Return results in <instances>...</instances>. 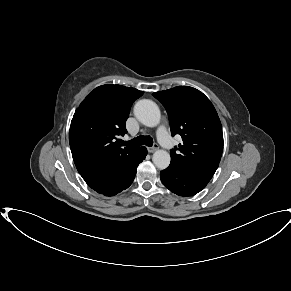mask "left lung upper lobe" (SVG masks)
I'll list each match as a JSON object with an SVG mask.
<instances>
[{
    "label": "left lung upper lobe",
    "instance_id": "obj_1",
    "mask_svg": "<svg viewBox=\"0 0 291 291\" xmlns=\"http://www.w3.org/2000/svg\"><path fill=\"white\" fill-rule=\"evenodd\" d=\"M166 108L172 136L183 143L171 150V163L184 173L209 182L219 166L223 133L218 114L199 90L178 86L153 93Z\"/></svg>",
    "mask_w": 291,
    "mask_h": 291
}]
</instances>
